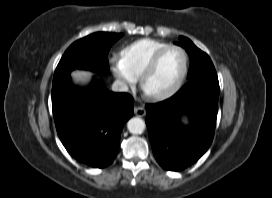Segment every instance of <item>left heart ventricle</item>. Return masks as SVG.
I'll list each match as a JSON object with an SVG mask.
<instances>
[{
  "label": "left heart ventricle",
  "mask_w": 272,
  "mask_h": 198,
  "mask_svg": "<svg viewBox=\"0 0 272 198\" xmlns=\"http://www.w3.org/2000/svg\"><path fill=\"white\" fill-rule=\"evenodd\" d=\"M184 65L183 54L177 49L167 51L153 73L146 79L147 93H162L171 89L179 80Z\"/></svg>",
  "instance_id": "left-heart-ventricle-1"
}]
</instances>
